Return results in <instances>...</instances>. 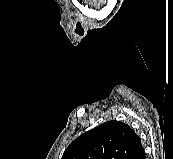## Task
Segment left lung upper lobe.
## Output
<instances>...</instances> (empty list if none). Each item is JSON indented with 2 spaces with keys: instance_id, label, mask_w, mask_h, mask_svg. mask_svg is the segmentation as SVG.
<instances>
[{
  "instance_id": "1",
  "label": "left lung upper lobe",
  "mask_w": 173,
  "mask_h": 159,
  "mask_svg": "<svg viewBox=\"0 0 173 159\" xmlns=\"http://www.w3.org/2000/svg\"><path fill=\"white\" fill-rule=\"evenodd\" d=\"M141 148L133 129L112 120L76 138L61 159H133Z\"/></svg>"
}]
</instances>
